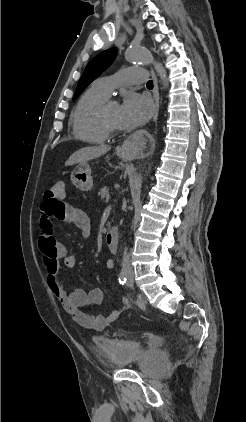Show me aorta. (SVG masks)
<instances>
[{"instance_id":"obj_1","label":"aorta","mask_w":246,"mask_h":422,"mask_svg":"<svg viewBox=\"0 0 246 422\" xmlns=\"http://www.w3.org/2000/svg\"><path fill=\"white\" fill-rule=\"evenodd\" d=\"M126 59L131 63H143V64H152L154 69L156 70L157 74L159 75L163 86L166 87L167 83V75L166 71L163 68L162 64L155 61L151 53L144 47H130L126 50ZM141 179L139 178L138 185H141Z\"/></svg>"}]
</instances>
